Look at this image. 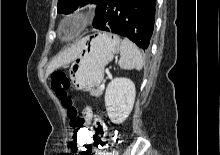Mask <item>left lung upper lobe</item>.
<instances>
[{
  "mask_svg": "<svg viewBox=\"0 0 220 155\" xmlns=\"http://www.w3.org/2000/svg\"><path fill=\"white\" fill-rule=\"evenodd\" d=\"M100 0H58L57 9L59 13L70 14L78 7L88 3H98Z\"/></svg>",
  "mask_w": 220,
  "mask_h": 155,
  "instance_id": "obj_1",
  "label": "left lung upper lobe"
}]
</instances>
